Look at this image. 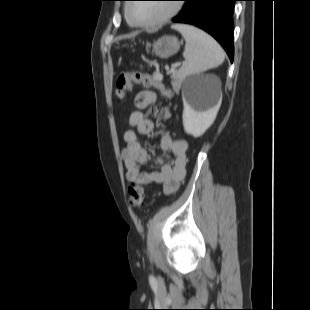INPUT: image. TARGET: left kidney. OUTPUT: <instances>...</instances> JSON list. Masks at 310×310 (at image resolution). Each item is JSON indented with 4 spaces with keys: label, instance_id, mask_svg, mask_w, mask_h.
I'll return each mask as SVG.
<instances>
[{
    "label": "left kidney",
    "instance_id": "obj_1",
    "mask_svg": "<svg viewBox=\"0 0 310 310\" xmlns=\"http://www.w3.org/2000/svg\"><path fill=\"white\" fill-rule=\"evenodd\" d=\"M183 126L185 132L199 137L213 124L218 108L199 109L193 106L189 96L183 97Z\"/></svg>",
    "mask_w": 310,
    "mask_h": 310
}]
</instances>
